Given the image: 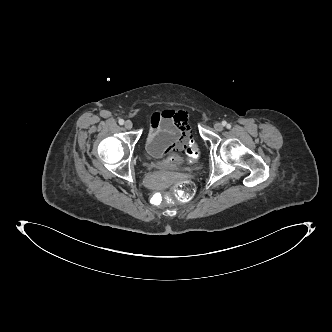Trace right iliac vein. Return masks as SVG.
<instances>
[{
    "instance_id": "right-iliac-vein-1",
    "label": "right iliac vein",
    "mask_w": 332,
    "mask_h": 332,
    "mask_svg": "<svg viewBox=\"0 0 332 332\" xmlns=\"http://www.w3.org/2000/svg\"><path fill=\"white\" fill-rule=\"evenodd\" d=\"M124 126H125V128H126L127 130H131L132 127H133V123H132L130 120H127V121L125 122Z\"/></svg>"
}]
</instances>
